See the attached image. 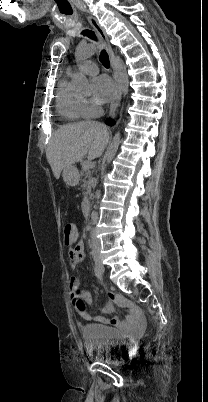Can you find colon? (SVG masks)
Masks as SVG:
<instances>
[{
	"instance_id": "1",
	"label": "colon",
	"mask_w": 208,
	"mask_h": 402,
	"mask_svg": "<svg viewBox=\"0 0 208 402\" xmlns=\"http://www.w3.org/2000/svg\"><path fill=\"white\" fill-rule=\"evenodd\" d=\"M63 231V241L65 244H75L78 240V231L77 227L73 223H66L62 227ZM72 261V260H71ZM73 306L75 310L79 313H83L86 310V304L84 300L80 297L73 298Z\"/></svg>"
}]
</instances>
